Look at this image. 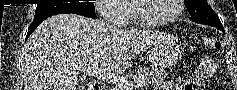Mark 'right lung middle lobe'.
Returning <instances> with one entry per match:
<instances>
[{
  "instance_id": "dd1d6c3e",
  "label": "right lung middle lobe",
  "mask_w": 237,
  "mask_h": 90,
  "mask_svg": "<svg viewBox=\"0 0 237 90\" xmlns=\"http://www.w3.org/2000/svg\"><path fill=\"white\" fill-rule=\"evenodd\" d=\"M69 11H86L95 12L93 3L78 2V3H59V4H38L36 7V12L34 20L49 17L56 14H62Z\"/></svg>"
}]
</instances>
